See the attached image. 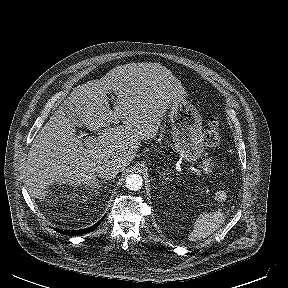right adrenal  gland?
I'll use <instances>...</instances> for the list:
<instances>
[{
    "instance_id": "1",
    "label": "right adrenal gland",
    "mask_w": 288,
    "mask_h": 288,
    "mask_svg": "<svg viewBox=\"0 0 288 288\" xmlns=\"http://www.w3.org/2000/svg\"><path fill=\"white\" fill-rule=\"evenodd\" d=\"M105 183V180H102V181H97L95 184L92 185V190L91 191H94L95 194H99V190L101 189L102 187V184Z\"/></svg>"
}]
</instances>
